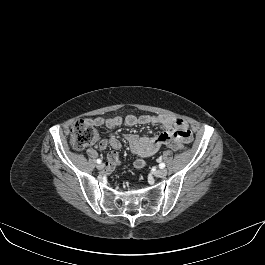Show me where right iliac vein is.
Returning a JSON list of instances; mask_svg holds the SVG:
<instances>
[{"instance_id":"1","label":"right iliac vein","mask_w":265,"mask_h":265,"mask_svg":"<svg viewBox=\"0 0 265 265\" xmlns=\"http://www.w3.org/2000/svg\"><path fill=\"white\" fill-rule=\"evenodd\" d=\"M104 167H105V165H104L103 163H100V164L97 165V168H98L99 170L104 169Z\"/></svg>"}]
</instances>
